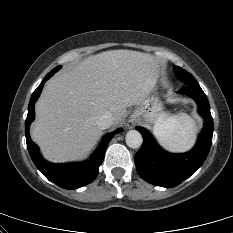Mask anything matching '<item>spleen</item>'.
<instances>
[{
  "mask_svg": "<svg viewBox=\"0 0 233 233\" xmlns=\"http://www.w3.org/2000/svg\"><path fill=\"white\" fill-rule=\"evenodd\" d=\"M196 130L195 121L184 113L160 117L154 125L158 142L171 152L190 149L195 141Z\"/></svg>",
  "mask_w": 233,
  "mask_h": 233,
  "instance_id": "1",
  "label": "spleen"
}]
</instances>
